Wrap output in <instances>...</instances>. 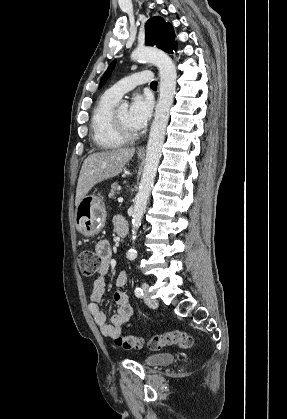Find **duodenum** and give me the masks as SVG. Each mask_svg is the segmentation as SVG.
<instances>
[{"mask_svg":"<svg viewBox=\"0 0 287 419\" xmlns=\"http://www.w3.org/2000/svg\"><path fill=\"white\" fill-rule=\"evenodd\" d=\"M128 230H129V228H128L127 223H122V224H121V225H119V226L117 227V229H116V231H117V235H118L120 238H124V237L128 234Z\"/></svg>","mask_w":287,"mask_h":419,"instance_id":"obj_1","label":"duodenum"}]
</instances>
